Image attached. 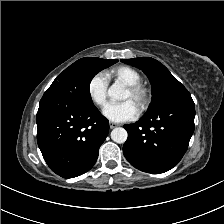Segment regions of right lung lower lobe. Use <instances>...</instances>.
<instances>
[{
    "instance_id": "right-lung-lower-lobe-1",
    "label": "right lung lower lobe",
    "mask_w": 224,
    "mask_h": 224,
    "mask_svg": "<svg viewBox=\"0 0 224 224\" xmlns=\"http://www.w3.org/2000/svg\"><path fill=\"white\" fill-rule=\"evenodd\" d=\"M36 122L43 158L64 178L77 177L92 168L109 130L108 120L94 104L57 94L43 95Z\"/></svg>"
}]
</instances>
